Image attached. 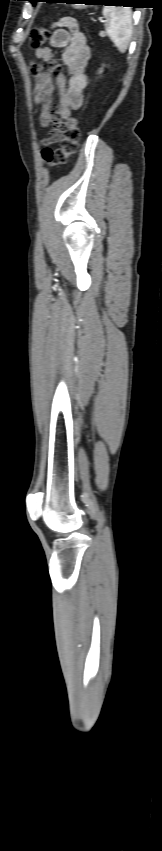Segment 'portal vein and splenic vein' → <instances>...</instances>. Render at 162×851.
I'll list each match as a JSON object with an SVG mask.
<instances>
[{"label": "portal vein and splenic vein", "mask_w": 162, "mask_h": 851, "mask_svg": "<svg viewBox=\"0 0 162 851\" xmlns=\"http://www.w3.org/2000/svg\"><path fill=\"white\" fill-rule=\"evenodd\" d=\"M100 22H105V20H103V19H100Z\"/></svg>", "instance_id": "18ae733b"}]
</instances>
